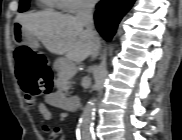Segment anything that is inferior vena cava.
<instances>
[{
	"instance_id": "obj_1",
	"label": "inferior vena cava",
	"mask_w": 182,
	"mask_h": 140,
	"mask_svg": "<svg viewBox=\"0 0 182 140\" xmlns=\"http://www.w3.org/2000/svg\"><path fill=\"white\" fill-rule=\"evenodd\" d=\"M96 2L94 0H82L80 2L76 18L86 28L87 33L90 35L92 41V58H96L99 54V39L94 30L93 10Z\"/></svg>"
}]
</instances>
